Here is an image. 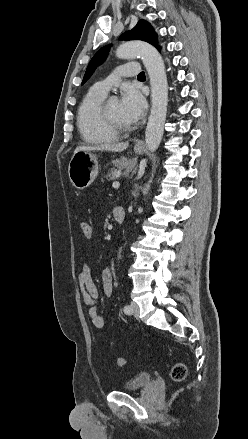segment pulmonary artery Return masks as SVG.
I'll return each mask as SVG.
<instances>
[{
  "label": "pulmonary artery",
  "mask_w": 248,
  "mask_h": 439,
  "mask_svg": "<svg viewBox=\"0 0 248 439\" xmlns=\"http://www.w3.org/2000/svg\"><path fill=\"white\" fill-rule=\"evenodd\" d=\"M140 74L139 64L136 62H128L116 69L114 73H112L107 78L97 82L93 89L101 94L106 95L108 91L114 86L119 77H133Z\"/></svg>",
  "instance_id": "e3ab8cb5"
}]
</instances>
